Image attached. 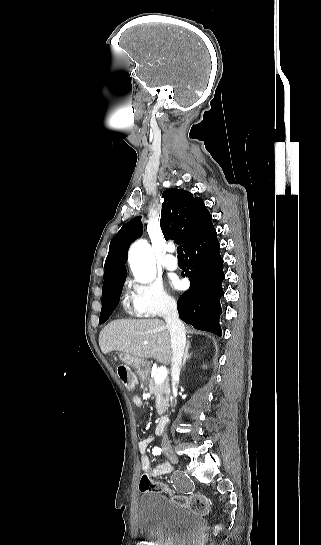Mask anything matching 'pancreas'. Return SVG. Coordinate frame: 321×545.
Instances as JSON below:
<instances>
[{
  "label": "pancreas",
  "mask_w": 321,
  "mask_h": 545,
  "mask_svg": "<svg viewBox=\"0 0 321 545\" xmlns=\"http://www.w3.org/2000/svg\"><path fill=\"white\" fill-rule=\"evenodd\" d=\"M150 371L151 369H148V371H146L144 375V379L146 383H148L149 385L150 393H153V395H155L156 397V409H157L158 415H163L164 411H166V405L169 401V395H170L169 381L168 379H164L163 383H159V385H155L154 381H152L150 377Z\"/></svg>",
  "instance_id": "cf45deb5"
}]
</instances>
